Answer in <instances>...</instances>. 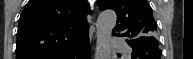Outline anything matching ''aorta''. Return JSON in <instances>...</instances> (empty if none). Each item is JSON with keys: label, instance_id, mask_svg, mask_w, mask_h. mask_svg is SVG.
Segmentation results:
<instances>
[{"label": "aorta", "instance_id": "1", "mask_svg": "<svg viewBox=\"0 0 193 59\" xmlns=\"http://www.w3.org/2000/svg\"><path fill=\"white\" fill-rule=\"evenodd\" d=\"M117 16L114 11L106 10L100 13L96 23V59H111L110 37L116 24Z\"/></svg>", "mask_w": 193, "mask_h": 59}]
</instances>
